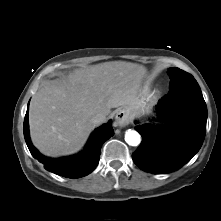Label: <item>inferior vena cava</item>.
<instances>
[{"label":"inferior vena cava","mask_w":221,"mask_h":221,"mask_svg":"<svg viewBox=\"0 0 221 221\" xmlns=\"http://www.w3.org/2000/svg\"><path fill=\"white\" fill-rule=\"evenodd\" d=\"M106 119H107L106 114L98 113L91 118V123L93 125H99L101 123H104L106 121Z\"/></svg>","instance_id":"1"}]
</instances>
